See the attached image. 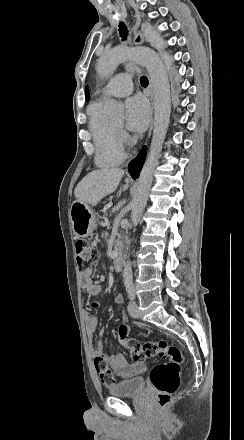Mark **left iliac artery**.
Masks as SVG:
<instances>
[{
    "instance_id": "1",
    "label": "left iliac artery",
    "mask_w": 244,
    "mask_h": 440,
    "mask_svg": "<svg viewBox=\"0 0 244 440\" xmlns=\"http://www.w3.org/2000/svg\"><path fill=\"white\" fill-rule=\"evenodd\" d=\"M127 293H128V297L130 300H134L135 299V289L133 287V285H127Z\"/></svg>"
}]
</instances>
